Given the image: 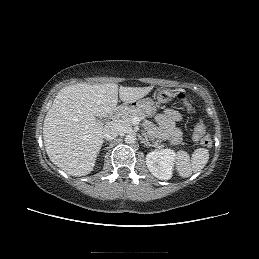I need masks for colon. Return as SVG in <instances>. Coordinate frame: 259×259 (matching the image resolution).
I'll return each mask as SVG.
<instances>
[{
	"label": "colon",
	"instance_id": "5ec220e1",
	"mask_svg": "<svg viewBox=\"0 0 259 259\" xmlns=\"http://www.w3.org/2000/svg\"><path fill=\"white\" fill-rule=\"evenodd\" d=\"M178 99L184 103L186 108L188 110H191V105L185 100V97L183 94L178 95ZM191 120H194V117H191ZM194 140H200L201 145L209 149L212 146V140L211 137L205 132V126L202 122H197L195 129H194Z\"/></svg>",
	"mask_w": 259,
	"mask_h": 259
}]
</instances>
